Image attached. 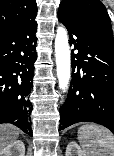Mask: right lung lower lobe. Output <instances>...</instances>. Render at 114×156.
<instances>
[{"label":"right lung lower lobe","mask_w":114,"mask_h":156,"mask_svg":"<svg viewBox=\"0 0 114 156\" xmlns=\"http://www.w3.org/2000/svg\"><path fill=\"white\" fill-rule=\"evenodd\" d=\"M35 17L0 33V123H12L30 136L29 93L37 58Z\"/></svg>","instance_id":"obj_1"}]
</instances>
